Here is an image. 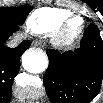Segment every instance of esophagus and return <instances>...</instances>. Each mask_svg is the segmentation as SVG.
Listing matches in <instances>:
<instances>
[{"label": "esophagus", "mask_w": 103, "mask_h": 103, "mask_svg": "<svg viewBox=\"0 0 103 103\" xmlns=\"http://www.w3.org/2000/svg\"><path fill=\"white\" fill-rule=\"evenodd\" d=\"M32 45L34 47H41L42 46V43L40 41H33Z\"/></svg>", "instance_id": "1"}]
</instances>
